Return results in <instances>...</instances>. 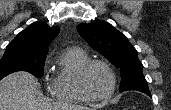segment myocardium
<instances>
[{"instance_id":"f54148a6","label":"myocardium","mask_w":171,"mask_h":110,"mask_svg":"<svg viewBox=\"0 0 171 110\" xmlns=\"http://www.w3.org/2000/svg\"><path fill=\"white\" fill-rule=\"evenodd\" d=\"M95 65H101V66L105 67L111 76V89L107 94H105L103 96H95L94 94H92L87 86V83H86L87 74H88L89 70ZM78 86H79V89L81 90V92L91 101L109 100L113 97V95L115 94V91H116V87H117L116 73H115L114 69L112 68V66L108 62H106L104 60H90L81 68V70L79 72Z\"/></svg>"}]
</instances>
